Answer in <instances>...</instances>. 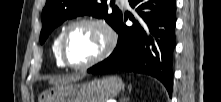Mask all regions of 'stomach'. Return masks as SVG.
<instances>
[{"instance_id": "stomach-1", "label": "stomach", "mask_w": 221, "mask_h": 102, "mask_svg": "<svg viewBox=\"0 0 221 102\" xmlns=\"http://www.w3.org/2000/svg\"><path fill=\"white\" fill-rule=\"evenodd\" d=\"M117 76H107L86 83H68L42 92L38 102H107L123 90Z\"/></svg>"}]
</instances>
